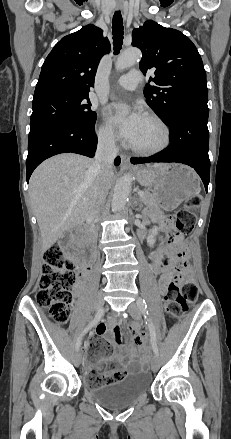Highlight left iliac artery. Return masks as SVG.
Here are the masks:
<instances>
[{"instance_id": "left-iliac-artery-1", "label": "left iliac artery", "mask_w": 231, "mask_h": 439, "mask_svg": "<svg viewBox=\"0 0 231 439\" xmlns=\"http://www.w3.org/2000/svg\"><path fill=\"white\" fill-rule=\"evenodd\" d=\"M137 304L140 307V309L142 310V312L145 313L144 317H145V319H147L146 325L148 326L149 331H150L152 349H153L154 353L156 355H158V346H157V342H156V333H155V329H154L150 319L148 318L149 312L147 310L148 309L147 303L145 302L144 299L139 298L137 300Z\"/></svg>"}]
</instances>
